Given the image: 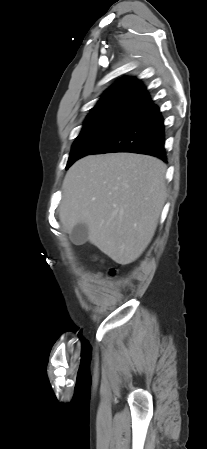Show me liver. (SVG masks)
Here are the masks:
<instances>
[{
    "instance_id": "obj_1",
    "label": "liver",
    "mask_w": 207,
    "mask_h": 449,
    "mask_svg": "<svg viewBox=\"0 0 207 449\" xmlns=\"http://www.w3.org/2000/svg\"><path fill=\"white\" fill-rule=\"evenodd\" d=\"M166 165L133 153L89 155L68 170L59 218L63 230L88 227V240L118 264L147 248L166 199Z\"/></svg>"
}]
</instances>
